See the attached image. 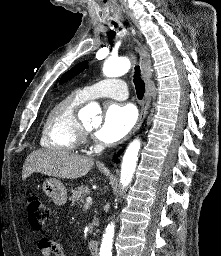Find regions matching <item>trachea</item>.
<instances>
[{
	"label": "trachea",
	"instance_id": "3493384b",
	"mask_svg": "<svg viewBox=\"0 0 221 256\" xmlns=\"http://www.w3.org/2000/svg\"><path fill=\"white\" fill-rule=\"evenodd\" d=\"M115 27H117L116 23H113ZM134 85H135V89H136V93H137V97L138 99H142L145 93V84L144 81L141 78V74H140V67L136 66L135 67V74H134V79H133Z\"/></svg>",
	"mask_w": 221,
	"mask_h": 256
}]
</instances>
